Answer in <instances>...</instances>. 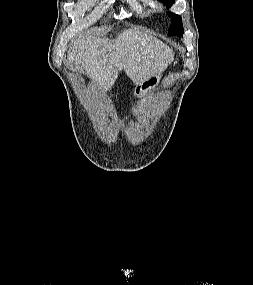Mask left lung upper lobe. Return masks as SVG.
Listing matches in <instances>:
<instances>
[{"label": "left lung upper lobe", "mask_w": 253, "mask_h": 285, "mask_svg": "<svg viewBox=\"0 0 253 285\" xmlns=\"http://www.w3.org/2000/svg\"><path fill=\"white\" fill-rule=\"evenodd\" d=\"M160 1H162L166 6L170 7L175 0H160ZM168 15L171 17V25L169 27L168 34L182 36L183 25L181 17L171 12H169Z\"/></svg>", "instance_id": "1"}]
</instances>
